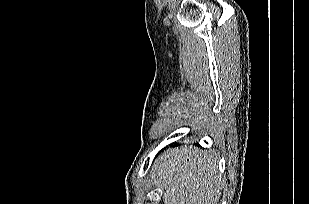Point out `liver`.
<instances>
[{
    "mask_svg": "<svg viewBox=\"0 0 309 204\" xmlns=\"http://www.w3.org/2000/svg\"><path fill=\"white\" fill-rule=\"evenodd\" d=\"M164 204H217L222 190L215 153L184 146L160 155L153 168Z\"/></svg>",
    "mask_w": 309,
    "mask_h": 204,
    "instance_id": "6515ba94",
    "label": "liver"
}]
</instances>
